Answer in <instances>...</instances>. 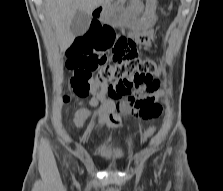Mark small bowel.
I'll return each instance as SVG.
<instances>
[{
  "label": "small bowel",
  "instance_id": "small-bowel-1",
  "mask_svg": "<svg viewBox=\"0 0 223 191\" xmlns=\"http://www.w3.org/2000/svg\"><path fill=\"white\" fill-rule=\"evenodd\" d=\"M99 26L101 24L96 23L93 27ZM153 34L154 31L150 29L138 34L137 39L150 47ZM133 88L125 83H97L88 103L89 108L81 106L76 113L75 125L83 127L89 117H94L99 125L115 129L120 126L121 116L124 114H132L139 119H149L156 115L158 111L154 112L153 109L159 110L158 97L155 95L158 82L152 81L145 86H136L135 90ZM106 94L109 96L108 99L105 98Z\"/></svg>",
  "mask_w": 223,
  "mask_h": 191
}]
</instances>
